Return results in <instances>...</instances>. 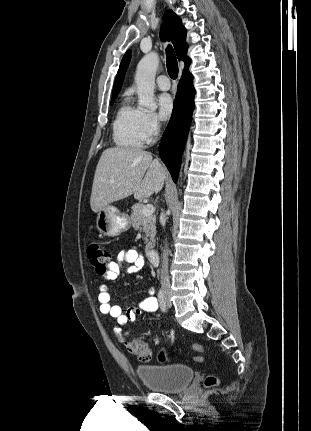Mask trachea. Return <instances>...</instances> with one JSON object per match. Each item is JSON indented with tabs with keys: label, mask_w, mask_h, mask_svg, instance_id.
Returning <instances> with one entry per match:
<instances>
[{
	"label": "trachea",
	"mask_w": 311,
	"mask_h": 431,
	"mask_svg": "<svg viewBox=\"0 0 311 431\" xmlns=\"http://www.w3.org/2000/svg\"><path fill=\"white\" fill-rule=\"evenodd\" d=\"M166 65L169 76L175 80L178 76V62L172 46L166 49Z\"/></svg>",
	"instance_id": "obj_1"
}]
</instances>
